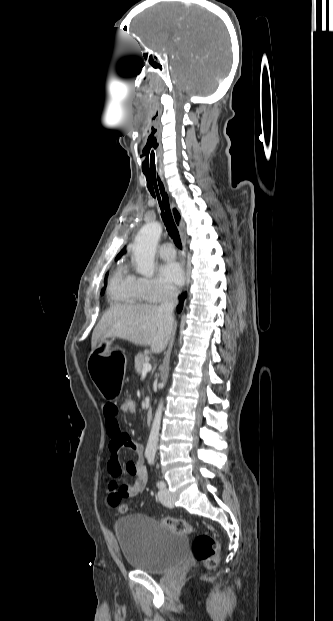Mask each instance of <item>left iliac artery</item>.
I'll use <instances>...</instances> for the list:
<instances>
[{
  "label": "left iliac artery",
  "instance_id": "1",
  "mask_svg": "<svg viewBox=\"0 0 333 621\" xmlns=\"http://www.w3.org/2000/svg\"><path fill=\"white\" fill-rule=\"evenodd\" d=\"M154 458H155V457H154V455H148V456H147V461H148V464H149L150 466L154 464ZM156 486H157L158 488L162 489V488H164L166 485H165V483H164L163 481H160V480H159V481H157V482H156Z\"/></svg>",
  "mask_w": 333,
  "mask_h": 621
}]
</instances>
